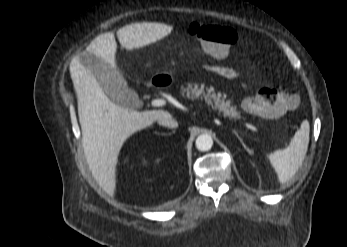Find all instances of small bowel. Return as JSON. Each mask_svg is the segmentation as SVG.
Wrapping results in <instances>:
<instances>
[{
	"mask_svg": "<svg viewBox=\"0 0 347 247\" xmlns=\"http://www.w3.org/2000/svg\"><path fill=\"white\" fill-rule=\"evenodd\" d=\"M204 67L206 70L225 79L233 80L239 76L238 71L229 66L206 64Z\"/></svg>",
	"mask_w": 347,
	"mask_h": 247,
	"instance_id": "c3829d8e",
	"label": "small bowel"
}]
</instances>
